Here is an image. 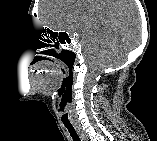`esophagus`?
<instances>
[{
	"instance_id": "esophagus-1",
	"label": "esophagus",
	"mask_w": 157,
	"mask_h": 141,
	"mask_svg": "<svg viewBox=\"0 0 157 141\" xmlns=\"http://www.w3.org/2000/svg\"><path fill=\"white\" fill-rule=\"evenodd\" d=\"M77 132L79 133L82 140H85L84 134L81 132L80 128H76Z\"/></svg>"
}]
</instances>
